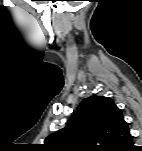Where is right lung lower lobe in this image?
Wrapping results in <instances>:
<instances>
[{
    "instance_id": "98d812e1",
    "label": "right lung lower lobe",
    "mask_w": 142,
    "mask_h": 151,
    "mask_svg": "<svg viewBox=\"0 0 142 151\" xmlns=\"http://www.w3.org/2000/svg\"><path fill=\"white\" fill-rule=\"evenodd\" d=\"M133 150H137V149L133 145V141L131 140L125 147L119 149L118 151H133Z\"/></svg>"
}]
</instances>
